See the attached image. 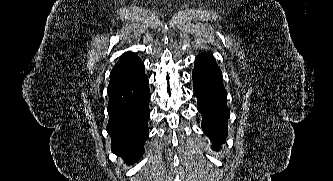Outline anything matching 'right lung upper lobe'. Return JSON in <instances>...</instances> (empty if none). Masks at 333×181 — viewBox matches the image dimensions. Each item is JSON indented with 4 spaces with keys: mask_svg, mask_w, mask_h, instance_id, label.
Instances as JSON below:
<instances>
[{
    "mask_svg": "<svg viewBox=\"0 0 333 181\" xmlns=\"http://www.w3.org/2000/svg\"><path fill=\"white\" fill-rule=\"evenodd\" d=\"M144 63L134 53H124L110 73L108 91L125 85L144 74Z\"/></svg>",
    "mask_w": 333,
    "mask_h": 181,
    "instance_id": "cb5924a9",
    "label": "right lung upper lobe"
}]
</instances>
